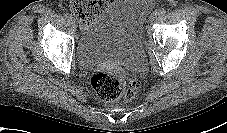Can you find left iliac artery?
<instances>
[{
    "label": "left iliac artery",
    "instance_id": "left-iliac-artery-1",
    "mask_svg": "<svg viewBox=\"0 0 227 133\" xmlns=\"http://www.w3.org/2000/svg\"><path fill=\"white\" fill-rule=\"evenodd\" d=\"M157 15H164L166 13V10L164 8H160L155 11Z\"/></svg>",
    "mask_w": 227,
    "mask_h": 133
}]
</instances>
